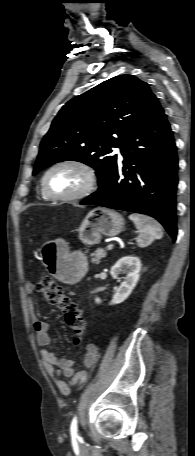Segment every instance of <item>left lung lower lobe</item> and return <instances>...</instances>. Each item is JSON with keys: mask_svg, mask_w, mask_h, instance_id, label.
I'll list each match as a JSON object with an SVG mask.
<instances>
[{"mask_svg": "<svg viewBox=\"0 0 195 456\" xmlns=\"http://www.w3.org/2000/svg\"><path fill=\"white\" fill-rule=\"evenodd\" d=\"M122 162L82 205L146 214L157 219L176 240V188L178 157L170 124L158 99L127 133Z\"/></svg>", "mask_w": 195, "mask_h": 456, "instance_id": "1", "label": "left lung lower lobe"}]
</instances>
